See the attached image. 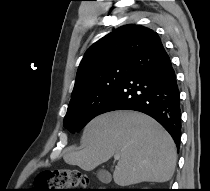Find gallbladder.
<instances>
[{"instance_id": "1", "label": "gallbladder", "mask_w": 210, "mask_h": 191, "mask_svg": "<svg viewBox=\"0 0 210 191\" xmlns=\"http://www.w3.org/2000/svg\"><path fill=\"white\" fill-rule=\"evenodd\" d=\"M104 174H106V172H105V171H102V172H100L98 175H99V177H101V176L104 175ZM109 180H110V178H109Z\"/></svg>"}]
</instances>
